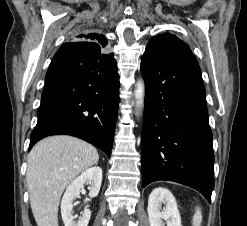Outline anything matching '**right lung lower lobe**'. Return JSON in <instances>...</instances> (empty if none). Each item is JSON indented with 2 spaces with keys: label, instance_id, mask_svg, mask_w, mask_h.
I'll return each instance as SVG.
<instances>
[{
  "label": "right lung lower lobe",
  "instance_id": "right-lung-lower-lobe-1",
  "mask_svg": "<svg viewBox=\"0 0 247 226\" xmlns=\"http://www.w3.org/2000/svg\"><path fill=\"white\" fill-rule=\"evenodd\" d=\"M119 87L116 61L108 48L84 41L64 43L46 73L29 150L46 136L66 134L110 157Z\"/></svg>",
  "mask_w": 247,
  "mask_h": 226
}]
</instances>
